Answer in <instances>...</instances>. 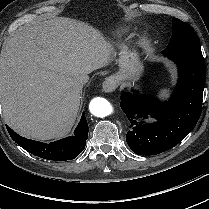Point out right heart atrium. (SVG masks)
I'll use <instances>...</instances> for the list:
<instances>
[{
  "mask_svg": "<svg viewBox=\"0 0 209 209\" xmlns=\"http://www.w3.org/2000/svg\"><path fill=\"white\" fill-rule=\"evenodd\" d=\"M72 77L76 78L77 74L76 73H72Z\"/></svg>",
  "mask_w": 209,
  "mask_h": 209,
  "instance_id": "1",
  "label": "right heart atrium"
}]
</instances>
